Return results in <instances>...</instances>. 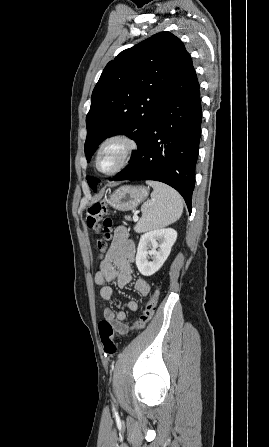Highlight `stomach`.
Segmentation results:
<instances>
[{"instance_id":"1","label":"stomach","mask_w":269,"mask_h":447,"mask_svg":"<svg viewBox=\"0 0 269 447\" xmlns=\"http://www.w3.org/2000/svg\"><path fill=\"white\" fill-rule=\"evenodd\" d=\"M148 196L147 188L143 186H122L118 188L108 200V204L114 210L120 212H128V210H135L141 202H144Z\"/></svg>"}]
</instances>
